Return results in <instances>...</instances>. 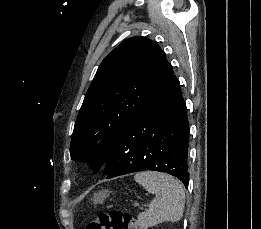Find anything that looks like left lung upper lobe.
Returning <instances> with one entry per match:
<instances>
[{"label":"left lung upper lobe","mask_w":261,"mask_h":229,"mask_svg":"<svg viewBox=\"0 0 261 229\" xmlns=\"http://www.w3.org/2000/svg\"><path fill=\"white\" fill-rule=\"evenodd\" d=\"M159 45L136 36L123 41L100 64L79 111L71 159L98 170L122 131L151 94L173 75Z\"/></svg>","instance_id":"5c2ea615"}]
</instances>
